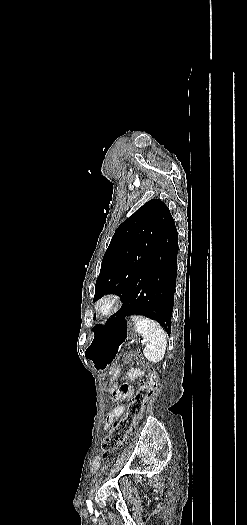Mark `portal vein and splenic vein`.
<instances>
[{"mask_svg": "<svg viewBox=\"0 0 247 525\" xmlns=\"http://www.w3.org/2000/svg\"><path fill=\"white\" fill-rule=\"evenodd\" d=\"M140 343H145L144 338H141Z\"/></svg>", "mask_w": 247, "mask_h": 525, "instance_id": "1", "label": "portal vein and splenic vein"}]
</instances>
